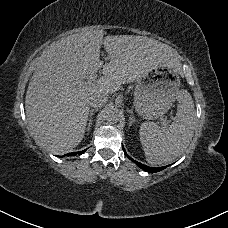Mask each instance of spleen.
<instances>
[{"mask_svg":"<svg viewBox=\"0 0 228 228\" xmlns=\"http://www.w3.org/2000/svg\"><path fill=\"white\" fill-rule=\"evenodd\" d=\"M177 111L173 123L162 129L154 122H143L139 126V138L146 161L164 164L179 157L194 136L195 116L191 95L186 90L177 94Z\"/></svg>","mask_w":228,"mask_h":228,"instance_id":"1","label":"spleen"}]
</instances>
